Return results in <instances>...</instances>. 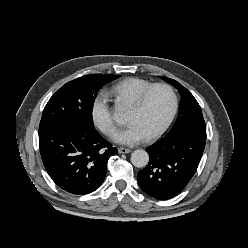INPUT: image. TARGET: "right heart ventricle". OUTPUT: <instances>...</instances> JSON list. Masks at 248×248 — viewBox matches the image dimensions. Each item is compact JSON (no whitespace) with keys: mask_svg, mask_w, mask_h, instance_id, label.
Here are the masks:
<instances>
[{"mask_svg":"<svg viewBox=\"0 0 248 248\" xmlns=\"http://www.w3.org/2000/svg\"><path fill=\"white\" fill-rule=\"evenodd\" d=\"M151 85H153V83L148 80L131 77L111 86L109 93L118 100H125L132 104L135 99Z\"/></svg>","mask_w":248,"mask_h":248,"instance_id":"1","label":"right heart ventricle"}]
</instances>
